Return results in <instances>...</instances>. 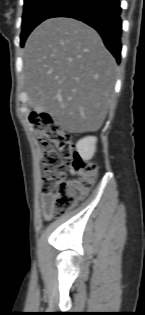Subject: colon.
<instances>
[{"label": "colon", "mask_w": 145, "mask_h": 315, "mask_svg": "<svg viewBox=\"0 0 145 315\" xmlns=\"http://www.w3.org/2000/svg\"><path fill=\"white\" fill-rule=\"evenodd\" d=\"M29 121L42 143L41 191L52 195L56 214L68 211L94 184L98 168L81 158L71 136L51 116L32 114ZM67 173L75 178L66 180Z\"/></svg>", "instance_id": "1"}]
</instances>
